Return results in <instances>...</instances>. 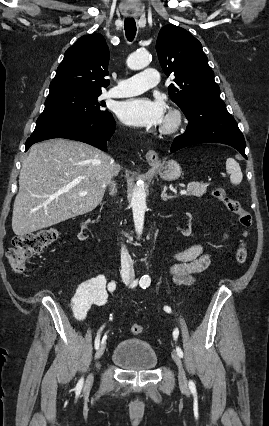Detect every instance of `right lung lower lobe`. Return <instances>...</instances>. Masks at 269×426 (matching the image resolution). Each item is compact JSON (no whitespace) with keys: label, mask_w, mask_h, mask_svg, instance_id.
I'll use <instances>...</instances> for the list:
<instances>
[{"label":"right lung lower lobe","mask_w":269,"mask_h":426,"mask_svg":"<svg viewBox=\"0 0 269 426\" xmlns=\"http://www.w3.org/2000/svg\"><path fill=\"white\" fill-rule=\"evenodd\" d=\"M115 127L114 118L112 114L108 112L98 119L72 123L57 129L45 131L36 136H31L26 141V151L34 143L52 138L78 140L93 145L101 150H106V143L113 135Z\"/></svg>","instance_id":"1"}]
</instances>
